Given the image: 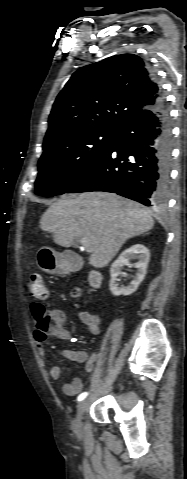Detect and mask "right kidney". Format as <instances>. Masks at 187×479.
Returning <instances> with one entry per match:
<instances>
[{"instance_id": "ca27d5eb", "label": "right kidney", "mask_w": 187, "mask_h": 479, "mask_svg": "<svg viewBox=\"0 0 187 479\" xmlns=\"http://www.w3.org/2000/svg\"><path fill=\"white\" fill-rule=\"evenodd\" d=\"M150 259V252L142 244H135L130 248L124 250L120 256L113 262L110 268V283L109 288L114 296L120 295H130L134 293L141 282L144 280V277L147 273V266ZM130 260H137L136 263L131 264ZM124 266L135 267L136 273L132 276L130 284L126 287L119 286L118 276L121 273V270Z\"/></svg>"}]
</instances>
